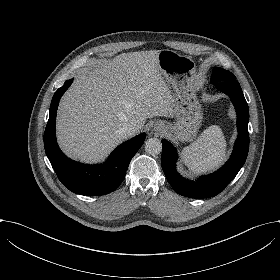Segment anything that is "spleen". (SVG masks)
<instances>
[{
  "mask_svg": "<svg viewBox=\"0 0 280 280\" xmlns=\"http://www.w3.org/2000/svg\"><path fill=\"white\" fill-rule=\"evenodd\" d=\"M183 163L195 173H206L226 159V140L221 128L210 126L197 141L182 150Z\"/></svg>",
  "mask_w": 280,
  "mask_h": 280,
  "instance_id": "spleen-1",
  "label": "spleen"
}]
</instances>
